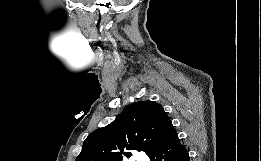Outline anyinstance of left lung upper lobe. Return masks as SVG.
I'll list each match as a JSON object with an SVG mask.
<instances>
[{"mask_svg":"<svg viewBox=\"0 0 261 161\" xmlns=\"http://www.w3.org/2000/svg\"><path fill=\"white\" fill-rule=\"evenodd\" d=\"M176 131L164 109L153 101L129 105L106 127L84 141L76 161H123L132 150L149 155Z\"/></svg>","mask_w":261,"mask_h":161,"instance_id":"1","label":"left lung upper lobe"}]
</instances>
